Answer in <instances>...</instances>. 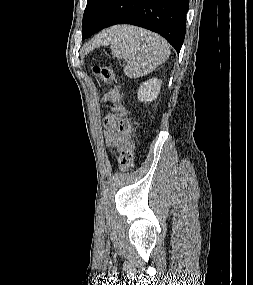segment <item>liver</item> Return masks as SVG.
Instances as JSON below:
<instances>
[{"label": "liver", "mask_w": 253, "mask_h": 285, "mask_svg": "<svg viewBox=\"0 0 253 285\" xmlns=\"http://www.w3.org/2000/svg\"><path fill=\"white\" fill-rule=\"evenodd\" d=\"M126 26H119V27H114L111 30L103 32L100 36L97 37V39L93 42V45L104 43L108 41L109 37L114 36L117 34L119 31L123 30Z\"/></svg>", "instance_id": "liver-1"}]
</instances>
